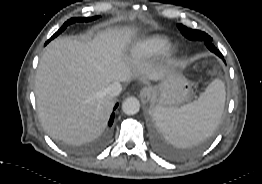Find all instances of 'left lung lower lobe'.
I'll return each mask as SVG.
<instances>
[{
	"instance_id": "obj_1",
	"label": "left lung lower lobe",
	"mask_w": 262,
	"mask_h": 184,
	"mask_svg": "<svg viewBox=\"0 0 262 184\" xmlns=\"http://www.w3.org/2000/svg\"><path fill=\"white\" fill-rule=\"evenodd\" d=\"M205 45L208 47V49L210 51L217 54L225 62L223 55L220 53L219 50H217V48L213 45L212 42L205 41ZM153 143H154L155 149L162 156H164L166 158H188V157L194 156L195 154L200 152V150L203 147V145H196L198 143H195V144H193V146H197V147H190L191 149H171V148L167 147L166 145H164L162 143L161 139H159L157 136H154Z\"/></svg>"
}]
</instances>
